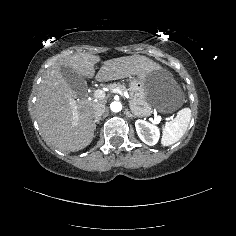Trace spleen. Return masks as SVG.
<instances>
[{
    "label": "spleen",
    "instance_id": "obj_1",
    "mask_svg": "<svg viewBox=\"0 0 236 236\" xmlns=\"http://www.w3.org/2000/svg\"><path fill=\"white\" fill-rule=\"evenodd\" d=\"M191 120V109L184 108L177 113L174 120L165 124L162 132L161 143L169 146L178 142L185 134Z\"/></svg>",
    "mask_w": 236,
    "mask_h": 236
}]
</instances>
